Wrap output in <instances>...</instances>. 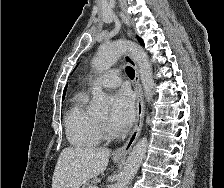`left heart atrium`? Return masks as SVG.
Listing matches in <instances>:
<instances>
[{"instance_id":"obj_1","label":"left heart atrium","mask_w":224,"mask_h":188,"mask_svg":"<svg viewBox=\"0 0 224 188\" xmlns=\"http://www.w3.org/2000/svg\"><path fill=\"white\" fill-rule=\"evenodd\" d=\"M135 118L134 97L130 90L122 89L113 98L110 124L117 130L131 126Z\"/></svg>"}]
</instances>
